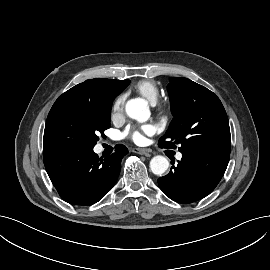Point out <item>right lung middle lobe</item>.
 I'll return each instance as SVG.
<instances>
[{
	"label": "right lung middle lobe",
	"mask_w": 270,
	"mask_h": 270,
	"mask_svg": "<svg viewBox=\"0 0 270 270\" xmlns=\"http://www.w3.org/2000/svg\"><path fill=\"white\" fill-rule=\"evenodd\" d=\"M111 105L69 104L51 109L44 130L43 152L88 151L110 128Z\"/></svg>",
	"instance_id": "right-lung-middle-lobe-1"
}]
</instances>
